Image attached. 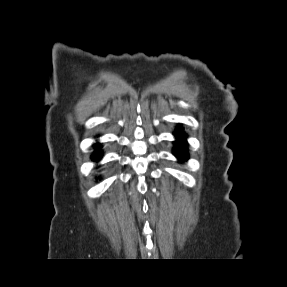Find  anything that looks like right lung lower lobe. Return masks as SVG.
Returning <instances> with one entry per match:
<instances>
[{
    "label": "right lung lower lobe",
    "mask_w": 287,
    "mask_h": 287,
    "mask_svg": "<svg viewBox=\"0 0 287 287\" xmlns=\"http://www.w3.org/2000/svg\"><path fill=\"white\" fill-rule=\"evenodd\" d=\"M97 148L95 149V151H94V153H93V161H98V160H100L101 159V157H102V152H101V150L99 149V144H96L95 145Z\"/></svg>",
    "instance_id": "right-lung-lower-lobe-1"
}]
</instances>
